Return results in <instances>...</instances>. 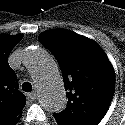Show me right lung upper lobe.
I'll use <instances>...</instances> for the list:
<instances>
[{
  "mask_svg": "<svg viewBox=\"0 0 125 125\" xmlns=\"http://www.w3.org/2000/svg\"><path fill=\"white\" fill-rule=\"evenodd\" d=\"M23 35L0 36V125H15L25 107L26 97L18 88L15 72L8 64V56Z\"/></svg>",
  "mask_w": 125,
  "mask_h": 125,
  "instance_id": "right-lung-upper-lobe-1",
  "label": "right lung upper lobe"
}]
</instances>
